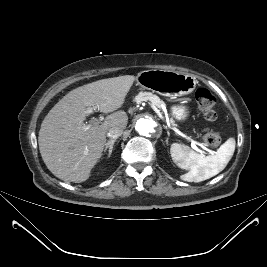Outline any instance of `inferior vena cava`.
Segmentation results:
<instances>
[{"label": "inferior vena cava", "instance_id": "inferior-vena-cava-1", "mask_svg": "<svg viewBox=\"0 0 267 267\" xmlns=\"http://www.w3.org/2000/svg\"><path fill=\"white\" fill-rule=\"evenodd\" d=\"M122 133H123V128L119 126H113L108 130L107 136L112 139H115V138L120 137Z\"/></svg>", "mask_w": 267, "mask_h": 267}]
</instances>
